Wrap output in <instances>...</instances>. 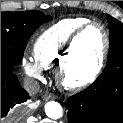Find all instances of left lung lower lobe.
I'll return each mask as SVG.
<instances>
[{
	"mask_svg": "<svg viewBox=\"0 0 123 123\" xmlns=\"http://www.w3.org/2000/svg\"><path fill=\"white\" fill-rule=\"evenodd\" d=\"M65 106L69 123H123V75L109 82L98 77Z\"/></svg>",
	"mask_w": 123,
	"mask_h": 123,
	"instance_id": "0a47b994",
	"label": "left lung lower lobe"
}]
</instances>
